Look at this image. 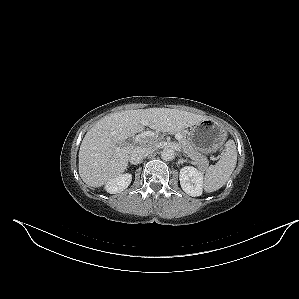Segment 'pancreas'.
I'll return each mask as SVG.
<instances>
[{"mask_svg": "<svg viewBox=\"0 0 299 299\" xmlns=\"http://www.w3.org/2000/svg\"><path fill=\"white\" fill-rule=\"evenodd\" d=\"M176 134H180L182 136V139L179 140V143L184 151V153L190 157L192 160L195 161L197 164L198 168L201 170H204L207 168L209 162L206 156L198 152L192 144L189 142V140L186 137L185 132L183 131H176Z\"/></svg>", "mask_w": 299, "mask_h": 299, "instance_id": "obj_1", "label": "pancreas"}]
</instances>
